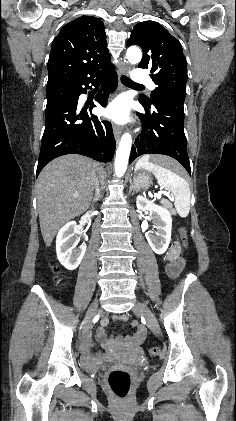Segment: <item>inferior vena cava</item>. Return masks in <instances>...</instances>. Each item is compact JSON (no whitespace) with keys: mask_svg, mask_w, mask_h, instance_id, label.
<instances>
[{"mask_svg":"<svg viewBox=\"0 0 236 421\" xmlns=\"http://www.w3.org/2000/svg\"><path fill=\"white\" fill-rule=\"evenodd\" d=\"M98 192H99V186H98V184H97V186H96V188H95V196H94V198H97V196H98ZM94 198H93V202H95ZM97 200H98V198H97Z\"/></svg>","mask_w":236,"mask_h":421,"instance_id":"inferior-vena-cava-1","label":"inferior vena cava"}]
</instances>
